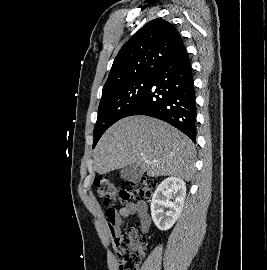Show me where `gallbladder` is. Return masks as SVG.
<instances>
[{"label":"gallbladder","mask_w":267,"mask_h":270,"mask_svg":"<svg viewBox=\"0 0 267 270\" xmlns=\"http://www.w3.org/2000/svg\"><path fill=\"white\" fill-rule=\"evenodd\" d=\"M143 171L136 164H130L120 171V177L127 181H136L143 176Z\"/></svg>","instance_id":"bac80fb5"}]
</instances>
